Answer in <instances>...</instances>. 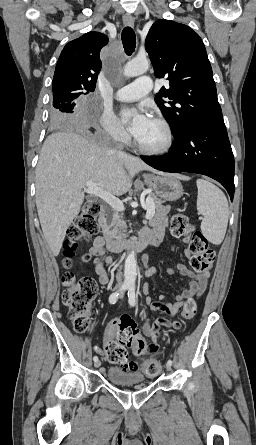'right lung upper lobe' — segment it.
Here are the masks:
<instances>
[{
	"mask_svg": "<svg viewBox=\"0 0 256 445\" xmlns=\"http://www.w3.org/2000/svg\"><path fill=\"white\" fill-rule=\"evenodd\" d=\"M107 43L106 35L94 31L67 43L54 72L53 94L71 91L85 95L93 92L102 66L100 50Z\"/></svg>",
	"mask_w": 256,
	"mask_h": 445,
	"instance_id": "cb5924a9",
	"label": "right lung upper lobe"
}]
</instances>
